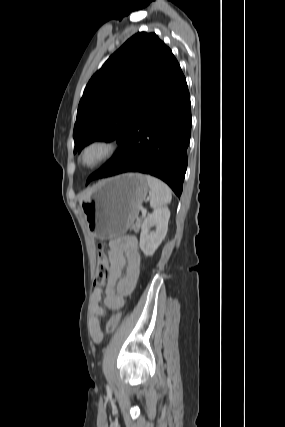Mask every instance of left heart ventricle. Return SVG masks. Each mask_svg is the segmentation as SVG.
Segmentation results:
<instances>
[{"mask_svg":"<svg viewBox=\"0 0 285 427\" xmlns=\"http://www.w3.org/2000/svg\"><path fill=\"white\" fill-rule=\"evenodd\" d=\"M99 153H100L99 149L92 150L87 156V161L91 162V161L95 160L99 156Z\"/></svg>","mask_w":285,"mask_h":427,"instance_id":"obj_1","label":"left heart ventricle"}]
</instances>
